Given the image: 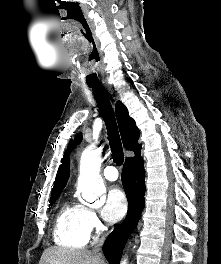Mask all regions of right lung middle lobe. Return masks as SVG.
Listing matches in <instances>:
<instances>
[{"label": "right lung middle lobe", "mask_w": 221, "mask_h": 264, "mask_svg": "<svg viewBox=\"0 0 221 264\" xmlns=\"http://www.w3.org/2000/svg\"><path fill=\"white\" fill-rule=\"evenodd\" d=\"M59 196L53 197L50 200V205H53V203L55 202V200L58 198Z\"/></svg>", "instance_id": "right-lung-middle-lobe-1"}]
</instances>
